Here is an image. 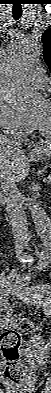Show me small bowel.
Segmentation results:
<instances>
[{"label":"small bowel","instance_id":"c3829d8e","mask_svg":"<svg viewBox=\"0 0 51 393\" xmlns=\"http://www.w3.org/2000/svg\"><path fill=\"white\" fill-rule=\"evenodd\" d=\"M2 325H3V326H6V325H7V320H6V319L2 320Z\"/></svg>","mask_w":51,"mask_h":393}]
</instances>
